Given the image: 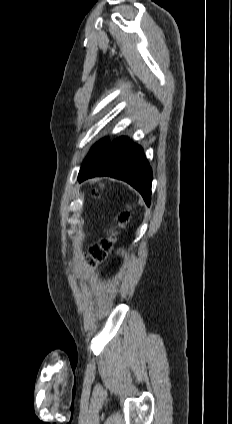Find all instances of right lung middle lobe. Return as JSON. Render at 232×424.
I'll return each instance as SVG.
<instances>
[{
	"label": "right lung middle lobe",
	"mask_w": 232,
	"mask_h": 424,
	"mask_svg": "<svg viewBox=\"0 0 232 424\" xmlns=\"http://www.w3.org/2000/svg\"><path fill=\"white\" fill-rule=\"evenodd\" d=\"M108 141H109L108 139H103L99 141L98 143H96L95 146L92 147V149L90 150L89 154L87 155L86 159L83 162V165L80 169L79 174H81L89 166V164L98 156V154L102 151V149L104 148V146L107 144Z\"/></svg>",
	"instance_id": "1"
}]
</instances>
